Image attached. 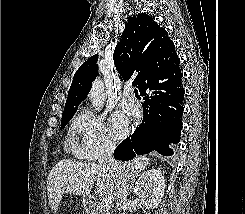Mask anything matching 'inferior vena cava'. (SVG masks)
Returning <instances> with one entry per match:
<instances>
[{
	"mask_svg": "<svg viewBox=\"0 0 245 214\" xmlns=\"http://www.w3.org/2000/svg\"><path fill=\"white\" fill-rule=\"evenodd\" d=\"M115 145L109 141H103L100 147L99 165L115 171L121 175L117 189L116 206L119 210H125L129 191L128 178L123 173V167L113 158Z\"/></svg>",
	"mask_w": 245,
	"mask_h": 214,
	"instance_id": "inferior-vena-cava-1",
	"label": "inferior vena cava"
}]
</instances>
